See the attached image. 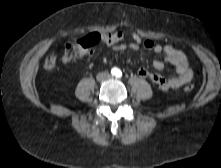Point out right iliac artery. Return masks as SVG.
Instances as JSON below:
<instances>
[{
	"mask_svg": "<svg viewBox=\"0 0 221 168\" xmlns=\"http://www.w3.org/2000/svg\"><path fill=\"white\" fill-rule=\"evenodd\" d=\"M111 73H112L113 75H116V74H117V70H116V69H112Z\"/></svg>",
	"mask_w": 221,
	"mask_h": 168,
	"instance_id": "right-iliac-artery-1",
	"label": "right iliac artery"
}]
</instances>
